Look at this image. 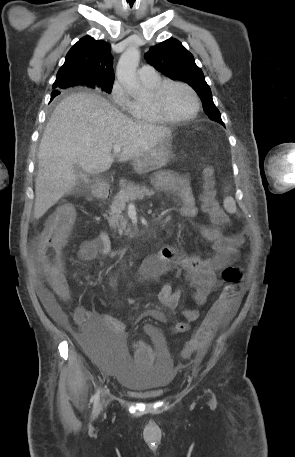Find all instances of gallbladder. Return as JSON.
I'll return each mask as SVG.
<instances>
[{"label":"gallbladder","instance_id":"obj_1","mask_svg":"<svg viewBox=\"0 0 295 457\" xmlns=\"http://www.w3.org/2000/svg\"><path fill=\"white\" fill-rule=\"evenodd\" d=\"M73 170H74V172L78 173L81 169H80V167L75 166V167L73 168Z\"/></svg>","mask_w":295,"mask_h":457}]
</instances>
